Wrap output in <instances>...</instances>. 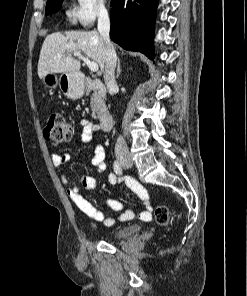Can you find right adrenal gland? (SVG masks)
Listing matches in <instances>:
<instances>
[{
    "instance_id": "1",
    "label": "right adrenal gland",
    "mask_w": 247,
    "mask_h": 296,
    "mask_svg": "<svg viewBox=\"0 0 247 296\" xmlns=\"http://www.w3.org/2000/svg\"><path fill=\"white\" fill-rule=\"evenodd\" d=\"M120 72H121V67H120V59H118V63H117V75H116V78L119 77L120 75Z\"/></svg>"
}]
</instances>
